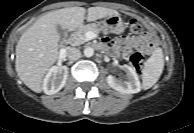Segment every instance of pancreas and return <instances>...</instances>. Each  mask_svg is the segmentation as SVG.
<instances>
[{"label":"pancreas","mask_w":194,"mask_h":133,"mask_svg":"<svg viewBox=\"0 0 194 133\" xmlns=\"http://www.w3.org/2000/svg\"><path fill=\"white\" fill-rule=\"evenodd\" d=\"M93 32L95 34H98L99 32H103L104 34H107L108 32L102 28H99L97 24H87L82 27H80L76 32H74L70 37V42L73 46H79L82 44H85L88 42V39L86 38L87 32Z\"/></svg>","instance_id":"pancreas-1"}]
</instances>
